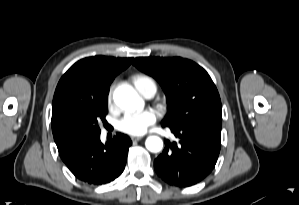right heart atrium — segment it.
<instances>
[{"mask_svg": "<svg viewBox=\"0 0 299 205\" xmlns=\"http://www.w3.org/2000/svg\"><path fill=\"white\" fill-rule=\"evenodd\" d=\"M112 93H113V89L110 88V90L108 91V94H107V103L110 105L111 102H112Z\"/></svg>", "mask_w": 299, "mask_h": 205, "instance_id": "1", "label": "right heart atrium"}]
</instances>
